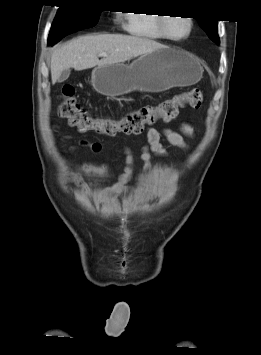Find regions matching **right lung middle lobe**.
<instances>
[{
    "mask_svg": "<svg viewBox=\"0 0 261 355\" xmlns=\"http://www.w3.org/2000/svg\"><path fill=\"white\" fill-rule=\"evenodd\" d=\"M90 6L85 0L64 3L53 21L48 41H58L65 35L93 27L102 10Z\"/></svg>",
    "mask_w": 261,
    "mask_h": 355,
    "instance_id": "obj_1",
    "label": "right lung middle lobe"
}]
</instances>
